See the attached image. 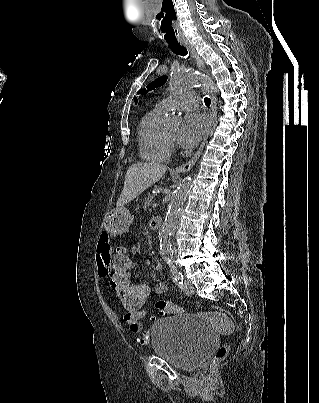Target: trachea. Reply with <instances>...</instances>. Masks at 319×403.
Here are the masks:
<instances>
[{
    "mask_svg": "<svg viewBox=\"0 0 319 403\" xmlns=\"http://www.w3.org/2000/svg\"><path fill=\"white\" fill-rule=\"evenodd\" d=\"M161 29L164 33V39L169 44L171 50L176 55L185 56L188 52L185 47H183L177 40L175 31L172 26V21H163L161 24ZM204 102L206 106H210L211 100L208 97L204 98Z\"/></svg>",
    "mask_w": 319,
    "mask_h": 403,
    "instance_id": "3493384b",
    "label": "trachea"
}]
</instances>
